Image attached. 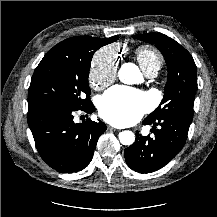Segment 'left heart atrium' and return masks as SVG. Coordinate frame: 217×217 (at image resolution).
<instances>
[{
  "mask_svg": "<svg viewBox=\"0 0 217 217\" xmlns=\"http://www.w3.org/2000/svg\"><path fill=\"white\" fill-rule=\"evenodd\" d=\"M148 106L149 99L145 92L116 86L102 96L99 113L110 124L127 126L139 120Z\"/></svg>",
  "mask_w": 217,
  "mask_h": 217,
  "instance_id": "obj_1",
  "label": "left heart atrium"
}]
</instances>
